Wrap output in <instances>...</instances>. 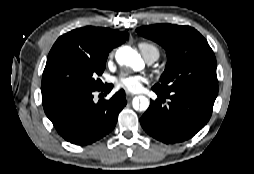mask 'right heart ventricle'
Masks as SVG:
<instances>
[{
	"label": "right heart ventricle",
	"mask_w": 254,
	"mask_h": 174,
	"mask_svg": "<svg viewBox=\"0 0 254 174\" xmlns=\"http://www.w3.org/2000/svg\"><path fill=\"white\" fill-rule=\"evenodd\" d=\"M138 46L145 58L150 55H155L157 58L159 57V49L154 44L149 42H141L138 44Z\"/></svg>",
	"instance_id": "e07e8e85"
}]
</instances>
